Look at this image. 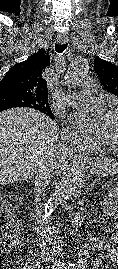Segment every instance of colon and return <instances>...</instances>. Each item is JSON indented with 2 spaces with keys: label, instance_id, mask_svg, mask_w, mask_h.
Listing matches in <instances>:
<instances>
[{
  "label": "colon",
  "instance_id": "1",
  "mask_svg": "<svg viewBox=\"0 0 118 269\" xmlns=\"http://www.w3.org/2000/svg\"><path fill=\"white\" fill-rule=\"evenodd\" d=\"M0 221L5 222V236L2 241L3 244H9L17 236L19 232V224L11 214L9 206L0 195Z\"/></svg>",
  "mask_w": 118,
  "mask_h": 269
}]
</instances>
